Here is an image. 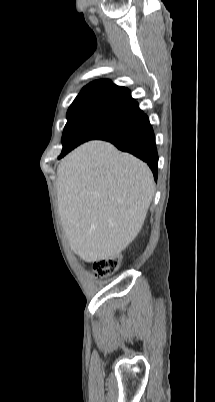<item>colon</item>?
<instances>
[{"mask_svg":"<svg viewBox=\"0 0 215 402\" xmlns=\"http://www.w3.org/2000/svg\"><path fill=\"white\" fill-rule=\"evenodd\" d=\"M120 266L119 257H109L97 260L93 264L94 275L96 277H105L113 274Z\"/></svg>","mask_w":215,"mask_h":402,"instance_id":"colon-1","label":"colon"}]
</instances>
